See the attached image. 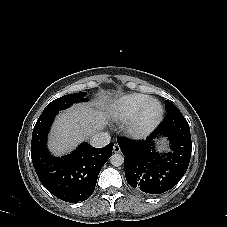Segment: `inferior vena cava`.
<instances>
[{"mask_svg":"<svg viewBox=\"0 0 227 227\" xmlns=\"http://www.w3.org/2000/svg\"><path fill=\"white\" fill-rule=\"evenodd\" d=\"M111 137L107 132H99L93 135L90 139V144L93 147L100 148L109 144Z\"/></svg>","mask_w":227,"mask_h":227,"instance_id":"602c4592","label":"inferior vena cava"}]
</instances>
